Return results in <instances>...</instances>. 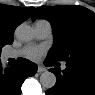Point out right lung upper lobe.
<instances>
[{"label": "right lung upper lobe", "instance_id": "right-lung-upper-lobe-1", "mask_svg": "<svg viewBox=\"0 0 95 95\" xmlns=\"http://www.w3.org/2000/svg\"><path fill=\"white\" fill-rule=\"evenodd\" d=\"M33 9L0 4V47L13 43L15 27L28 19Z\"/></svg>", "mask_w": 95, "mask_h": 95}]
</instances>
